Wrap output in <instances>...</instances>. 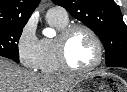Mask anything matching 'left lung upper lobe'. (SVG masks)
Listing matches in <instances>:
<instances>
[{"instance_id": "obj_1", "label": "left lung upper lobe", "mask_w": 127, "mask_h": 92, "mask_svg": "<svg viewBox=\"0 0 127 92\" xmlns=\"http://www.w3.org/2000/svg\"><path fill=\"white\" fill-rule=\"evenodd\" d=\"M91 28L106 50V63L127 55V27L114 0H52Z\"/></svg>"}]
</instances>
